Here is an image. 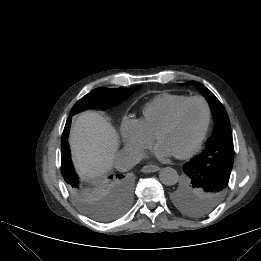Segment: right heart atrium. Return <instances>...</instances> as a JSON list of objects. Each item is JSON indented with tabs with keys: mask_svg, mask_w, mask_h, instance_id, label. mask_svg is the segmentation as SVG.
I'll return each mask as SVG.
<instances>
[{
	"mask_svg": "<svg viewBox=\"0 0 261 261\" xmlns=\"http://www.w3.org/2000/svg\"><path fill=\"white\" fill-rule=\"evenodd\" d=\"M123 142L129 146L145 151L152 145L154 137L147 133L138 120L124 119L121 126Z\"/></svg>",
	"mask_w": 261,
	"mask_h": 261,
	"instance_id": "1",
	"label": "right heart atrium"
}]
</instances>
